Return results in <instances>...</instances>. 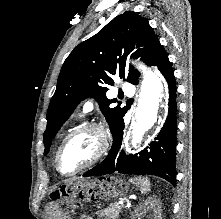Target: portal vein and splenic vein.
<instances>
[{"label": "portal vein and splenic vein", "instance_id": "18ae733b", "mask_svg": "<svg viewBox=\"0 0 221 219\" xmlns=\"http://www.w3.org/2000/svg\"><path fill=\"white\" fill-rule=\"evenodd\" d=\"M120 205H123V202H119Z\"/></svg>", "mask_w": 221, "mask_h": 219}]
</instances>
